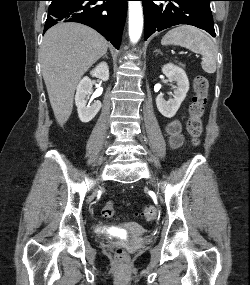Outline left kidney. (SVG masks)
<instances>
[{"label": "left kidney", "mask_w": 250, "mask_h": 285, "mask_svg": "<svg viewBox=\"0 0 250 285\" xmlns=\"http://www.w3.org/2000/svg\"><path fill=\"white\" fill-rule=\"evenodd\" d=\"M162 72L170 82H176L173 86V98L166 101L162 94L156 97V105L159 112L166 118H172L180 108L181 103L186 98L189 90V81L185 71L172 64H166L162 67Z\"/></svg>", "instance_id": "obj_1"}]
</instances>
